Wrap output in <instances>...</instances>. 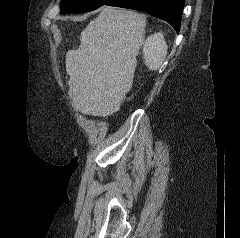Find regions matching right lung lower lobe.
<instances>
[{
  "label": "right lung lower lobe",
  "instance_id": "right-lung-lower-lobe-1",
  "mask_svg": "<svg viewBox=\"0 0 240 238\" xmlns=\"http://www.w3.org/2000/svg\"><path fill=\"white\" fill-rule=\"evenodd\" d=\"M185 0H112L107 5L146 12L179 32Z\"/></svg>",
  "mask_w": 240,
  "mask_h": 238
}]
</instances>
